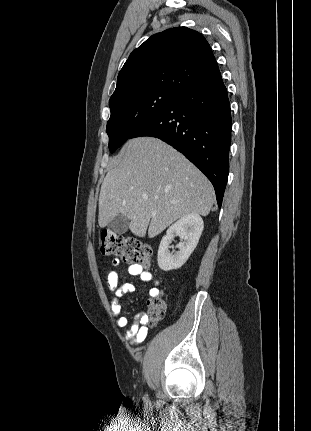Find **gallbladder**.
Wrapping results in <instances>:
<instances>
[{
	"label": "gallbladder",
	"instance_id": "gallbladder-1",
	"mask_svg": "<svg viewBox=\"0 0 311 431\" xmlns=\"http://www.w3.org/2000/svg\"><path fill=\"white\" fill-rule=\"evenodd\" d=\"M129 225V219L126 216H122V214H118V216L113 217L111 221L108 223V229L114 231V233H125L127 231Z\"/></svg>",
	"mask_w": 311,
	"mask_h": 431
}]
</instances>
